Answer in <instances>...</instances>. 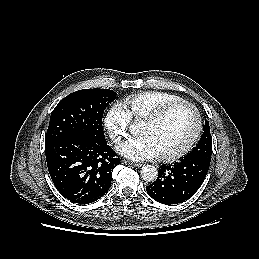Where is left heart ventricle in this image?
<instances>
[{
    "mask_svg": "<svg viewBox=\"0 0 259 259\" xmlns=\"http://www.w3.org/2000/svg\"><path fill=\"white\" fill-rule=\"evenodd\" d=\"M196 119L193 111L185 106L178 107L160 122H142L140 134L147 135L154 143L158 155L179 149L195 130Z\"/></svg>",
    "mask_w": 259,
    "mask_h": 259,
    "instance_id": "b2bd125f",
    "label": "left heart ventricle"
}]
</instances>
